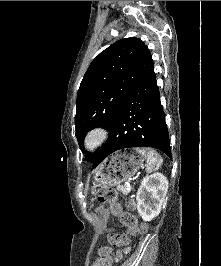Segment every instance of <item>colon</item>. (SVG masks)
Segmentation results:
<instances>
[{
	"label": "colon",
	"instance_id": "5ec220e1",
	"mask_svg": "<svg viewBox=\"0 0 221 266\" xmlns=\"http://www.w3.org/2000/svg\"><path fill=\"white\" fill-rule=\"evenodd\" d=\"M98 200L109 206L113 215L117 216L121 223L127 228L128 233L132 236H137L146 230V224H139L136 214L133 213L134 202L131 200H124L122 205L126 211H122L120 204L117 201V193L110 187H100L98 190ZM124 235L119 233H112L108 236L111 244H118L123 241ZM112 256V249L104 253L97 261V266H109Z\"/></svg>",
	"mask_w": 221,
	"mask_h": 266
}]
</instances>
